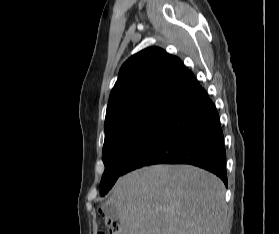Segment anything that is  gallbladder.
Listing matches in <instances>:
<instances>
[{
	"mask_svg": "<svg viewBox=\"0 0 279 234\" xmlns=\"http://www.w3.org/2000/svg\"><path fill=\"white\" fill-rule=\"evenodd\" d=\"M103 210L105 215L112 219V220H117L118 219V211L115 206H110V205H104Z\"/></svg>",
	"mask_w": 279,
	"mask_h": 234,
	"instance_id": "gallbladder-1",
	"label": "gallbladder"
}]
</instances>
